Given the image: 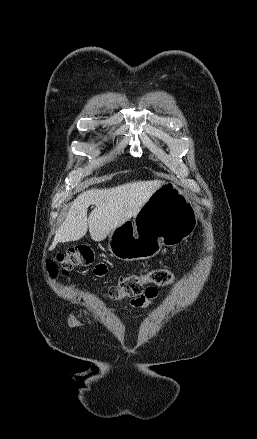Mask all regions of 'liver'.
<instances>
[{"instance_id": "1", "label": "liver", "mask_w": 257, "mask_h": 439, "mask_svg": "<svg viewBox=\"0 0 257 439\" xmlns=\"http://www.w3.org/2000/svg\"><path fill=\"white\" fill-rule=\"evenodd\" d=\"M163 183L161 180L135 181L82 192L72 202L49 249L52 250L58 242L81 239L88 228L94 241L104 240L115 228L135 216ZM90 205H95V208L87 217Z\"/></svg>"}]
</instances>
